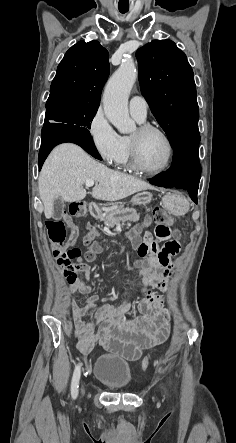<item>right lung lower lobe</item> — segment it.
<instances>
[{
  "mask_svg": "<svg viewBox=\"0 0 236 443\" xmlns=\"http://www.w3.org/2000/svg\"><path fill=\"white\" fill-rule=\"evenodd\" d=\"M64 142H72L78 144L93 157L102 160L92 142L91 136L83 135L73 131L72 129H70V125L62 123H50L49 125H45L42 128V141L38 157L39 169H41L50 151L56 145Z\"/></svg>",
  "mask_w": 236,
  "mask_h": 443,
  "instance_id": "1",
  "label": "right lung lower lobe"
}]
</instances>
